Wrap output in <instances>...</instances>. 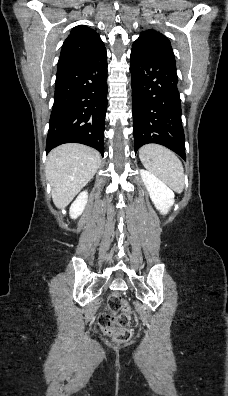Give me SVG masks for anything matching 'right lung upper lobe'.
<instances>
[{"instance_id": "cb5924a9", "label": "right lung upper lobe", "mask_w": 228, "mask_h": 396, "mask_svg": "<svg viewBox=\"0 0 228 396\" xmlns=\"http://www.w3.org/2000/svg\"><path fill=\"white\" fill-rule=\"evenodd\" d=\"M104 47L99 34L93 29L85 25L76 26L63 43L58 66L85 59Z\"/></svg>"}]
</instances>
